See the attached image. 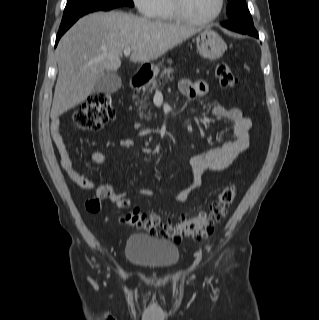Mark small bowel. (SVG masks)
<instances>
[{"instance_id": "c3829d8e", "label": "small bowel", "mask_w": 319, "mask_h": 320, "mask_svg": "<svg viewBox=\"0 0 319 320\" xmlns=\"http://www.w3.org/2000/svg\"><path fill=\"white\" fill-rule=\"evenodd\" d=\"M180 90L187 98L196 99L206 94L208 87L203 81L191 82L190 80H182L180 82ZM212 114L217 118L227 119L233 123L235 139L226 142L220 148L200 152L190 158L189 163L192 171L191 181L174 196L173 200L175 202H185L194 190L201 187L204 172H217L227 169L234 159L243 153L250 145L252 122L248 117L243 115L241 109L238 107L225 108L221 104H216L212 108ZM51 129L53 143L59 155L60 164L69 179L80 188L92 191L98 197H105L112 203L119 202L123 197L120 194L111 192V182L108 177H105V184L98 185L93 180L83 176L75 168L65 141L59 132L58 120L51 122ZM90 162L93 166L98 167L110 162V158L105 153L93 152L90 155ZM137 193L143 197H152L155 194V189L143 188Z\"/></svg>"}]
</instances>
